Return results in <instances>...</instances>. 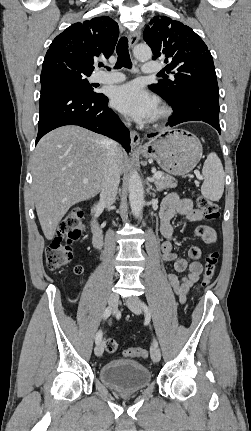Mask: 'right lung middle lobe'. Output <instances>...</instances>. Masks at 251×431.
<instances>
[{"label": "right lung middle lobe", "instance_id": "dd1d6c3e", "mask_svg": "<svg viewBox=\"0 0 251 431\" xmlns=\"http://www.w3.org/2000/svg\"><path fill=\"white\" fill-rule=\"evenodd\" d=\"M90 75V71L84 70L70 62L58 61L42 68L41 84L61 81L69 83L81 91L91 93L94 91L92 85L87 80V77Z\"/></svg>", "mask_w": 251, "mask_h": 431}]
</instances>
